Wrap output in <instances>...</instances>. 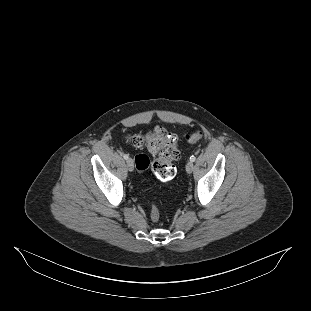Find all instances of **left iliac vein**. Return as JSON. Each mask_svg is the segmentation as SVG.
Wrapping results in <instances>:
<instances>
[{"instance_id": "4c4485c4", "label": "left iliac vein", "mask_w": 311, "mask_h": 311, "mask_svg": "<svg viewBox=\"0 0 311 311\" xmlns=\"http://www.w3.org/2000/svg\"><path fill=\"white\" fill-rule=\"evenodd\" d=\"M194 170V164L193 162H188L186 165V171L187 173H192V171Z\"/></svg>"}]
</instances>
